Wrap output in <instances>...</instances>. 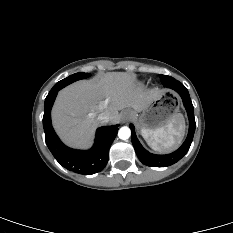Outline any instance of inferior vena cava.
Returning a JSON list of instances; mask_svg holds the SVG:
<instances>
[{"label":"inferior vena cava","instance_id":"inferior-vena-cava-1","mask_svg":"<svg viewBox=\"0 0 233 233\" xmlns=\"http://www.w3.org/2000/svg\"><path fill=\"white\" fill-rule=\"evenodd\" d=\"M97 120L101 123V124H106L110 121V117L104 113H101L98 115Z\"/></svg>","mask_w":233,"mask_h":233}]
</instances>
